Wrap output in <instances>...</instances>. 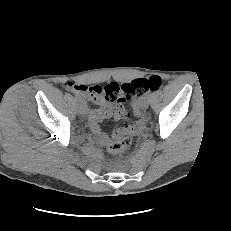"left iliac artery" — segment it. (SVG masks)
Listing matches in <instances>:
<instances>
[{
  "label": "left iliac artery",
  "mask_w": 231,
  "mask_h": 231,
  "mask_svg": "<svg viewBox=\"0 0 231 231\" xmlns=\"http://www.w3.org/2000/svg\"><path fill=\"white\" fill-rule=\"evenodd\" d=\"M146 96L150 97L151 96V92L147 93Z\"/></svg>",
  "instance_id": "left-iliac-artery-1"
}]
</instances>
